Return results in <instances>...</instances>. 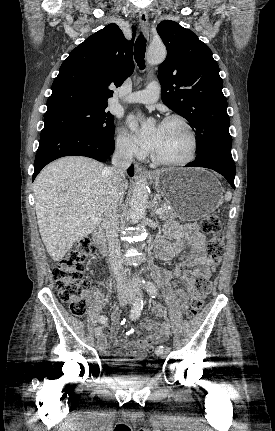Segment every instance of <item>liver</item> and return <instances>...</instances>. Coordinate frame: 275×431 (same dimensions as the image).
<instances>
[{
    "label": "liver",
    "instance_id": "liver-1",
    "mask_svg": "<svg viewBox=\"0 0 275 431\" xmlns=\"http://www.w3.org/2000/svg\"><path fill=\"white\" fill-rule=\"evenodd\" d=\"M105 169L94 159L68 156L49 164L35 179L39 231L54 261L100 224L106 201ZM127 186L124 181V189Z\"/></svg>",
    "mask_w": 275,
    "mask_h": 431
}]
</instances>
